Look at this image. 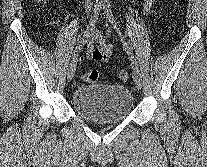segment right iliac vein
I'll return each mask as SVG.
<instances>
[{
  "instance_id": "obj_1",
  "label": "right iliac vein",
  "mask_w": 207,
  "mask_h": 167,
  "mask_svg": "<svg viewBox=\"0 0 207 167\" xmlns=\"http://www.w3.org/2000/svg\"><path fill=\"white\" fill-rule=\"evenodd\" d=\"M76 64H77V60L74 59L68 67V70H67V79H68V81H71L74 77L75 70H76Z\"/></svg>"
}]
</instances>
